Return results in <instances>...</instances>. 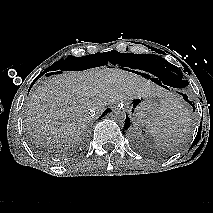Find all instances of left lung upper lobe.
<instances>
[{
	"instance_id": "1",
	"label": "left lung upper lobe",
	"mask_w": 213,
	"mask_h": 213,
	"mask_svg": "<svg viewBox=\"0 0 213 213\" xmlns=\"http://www.w3.org/2000/svg\"><path fill=\"white\" fill-rule=\"evenodd\" d=\"M136 63L139 65V69L168 77L175 84V88L183 89L188 85V81L184 80L181 70L160 56L152 54L137 55Z\"/></svg>"
}]
</instances>
